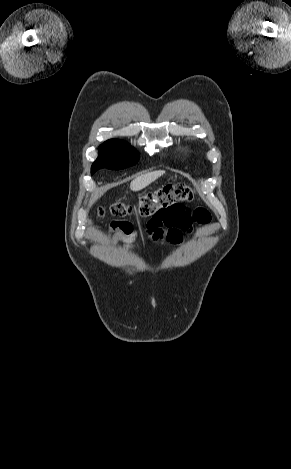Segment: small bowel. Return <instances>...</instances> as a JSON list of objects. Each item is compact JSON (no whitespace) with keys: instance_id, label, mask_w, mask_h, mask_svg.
I'll return each mask as SVG.
<instances>
[{"instance_id":"1","label":"small bowel","mask_w":291,"mask_h":469,"mask_svg":"<svg viewBox=\"0 0 291 469\" xmlns=\"http://www.w3.org/2000/svg\"><path fill=\"white\" fill-rule=\"evenodd\" d=\"M193 221L207 224L210 221L208 213L191 215L183 207L172 208L163 211L156 217L150 219L146 224L145 233L151 242L167 240L172 244H180L185 233H191ZM111 229L119 231L113 238V243L124 242V250L136 251L133 242L137 238L131 223L126 221L112 222Z\"/></svg>"}]
</instances>
